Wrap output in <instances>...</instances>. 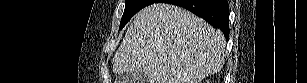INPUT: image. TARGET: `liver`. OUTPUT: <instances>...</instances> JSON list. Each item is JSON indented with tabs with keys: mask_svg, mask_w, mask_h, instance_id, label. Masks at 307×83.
Returning a JSON list of instances; mask_svg holds the SVG:
<instances>
[{
	"mask_svg": "<svg viewBox=\"0 0 307 83\" xmlns=\"http://www.w3.org/2000/svg\"><path fill=\"white\" fill-rule=\"evenodd\" d=\"M226 40L202 18L175 5L138 12L113 59L119 75L143 72L147 83H200L224 64Z\"/></svg>",
	"mask_w": 307,
	"mask_h": 83,
	"instance_id": "6515ba94",
	"label": "liver"
}]
</instances>
